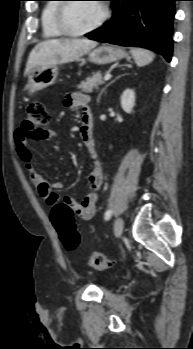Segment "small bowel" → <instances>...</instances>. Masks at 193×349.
Returning <instances> with one entry per match:
<instances>
[{"label":"small bowel","mask_w":193,"mask_h":349,"mask_svg":"<svg viewBox=\"0 0 193 349\" xmlns=\"http://www.w3.org/2000/svg\"><path fill=\"white\" fill-rule=\"evenodd\" d=\"M63 103L67 109L78 110L81 113L80 136L93 163V168L87 176L90 188L87 196L82 201L69 196L60 197L57 190L63 187L62 183H51L45 180L36 170L32 153L28 147L30 138L22 128L16 130L15 133L16 150L19 158L26 166L31 182L38 188L40 195L48 205L52 207L58 201H65L72 207L75 216L83 220H90L96 212L97 195L102 184L103 173L93 137L92 117L88 106L89 97L83 93L72 92L65 96ZM46 137L55 138L56 134L51 132Z\"/></svg>","instance_id":"obj_1"}]
</instances>
